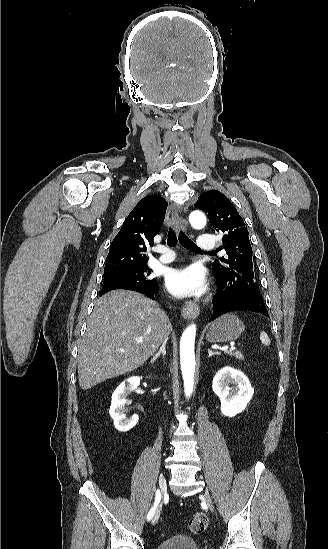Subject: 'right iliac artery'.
I'll return each mask as SVG.
<instances>
[{
	"mask_svg": "<svg viewBox=\"0 0 328 549\" xmlns=\"http://www.w3.org/2000/svg\"><path fill=\"white\" fill-rule=\"evenodd\" d=\"M161 500V493L159 490L156 491V494H155V502H154V505L153 507L150 509L149 513L147 514V519L148 520H151V518L153 517L154 513H155V510H156V507L158 506L159 502Z\"/></svg>",
	"mask_w": 328,
	"mask_h": 549,
	"instance_id": "obj_1",
	"label": "right iliac artery"
}]
</instances>
